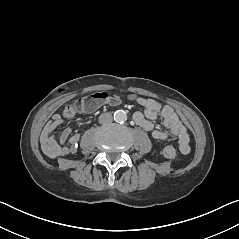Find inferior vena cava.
Returning <instances> with one entry per match:
<instances>
[{
	"instance_id": "inferior-vena-cava-1",
	"label": "inferior vena cava",
	"mask_w": 239,
	"mask_h": 239,
	"mask_svg": "<svg viewBox=\"0 0 239 239\" xmlns=\"http://www.w3.org/2000/svg\"><path fill=\"white\" fill-rule=\"evenodd\" d=\"M113 120L112 115L110 113H102L99 116V123L100 124H109Z\"/></svg>"
}]
</instances>
